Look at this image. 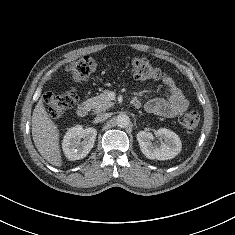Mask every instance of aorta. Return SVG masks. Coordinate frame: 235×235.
I'll return each instance as SVG.
<instances>
[{
  "label": "aorta",
  "instance_id": "aorta-1",
  "mask_svg": "<svg viewBox=\"0 0 235 235\" xmlns=\"http://www.w3.org/2000/svg\"><path fill=\"white\" fill-rule=\"evenodd\" d=\"M116 124L120 128H126L130 124V118L126 114H120L116 118Z\"/></svg>",
  "mask_w": 235,
  "mask_h": 235
}]
</instances>
